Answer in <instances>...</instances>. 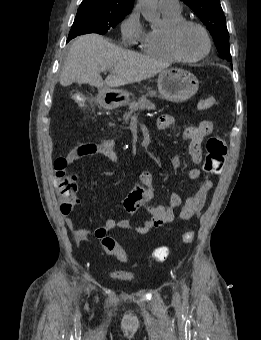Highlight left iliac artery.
<instances>
[{"label": "left iliac artery", "instance_id": "44dca946", "mask_svg": "<svg viewBox=\"0 0 261 340\" xmlns=\"http://www.w3.org/2000/svg\"><path fill=\"white\" fill-rule=\"evenodd\" d=\"M183 300L184 303L188 302V288L186 285L183 286Z\"/></svg>", "mask_w": 261, "mask_h": 340}]
</instances>
